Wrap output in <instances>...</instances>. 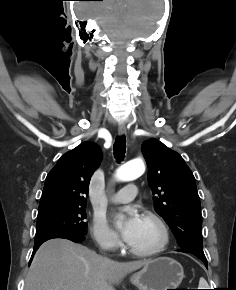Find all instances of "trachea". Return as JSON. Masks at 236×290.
Segmentation results:
<instances>
[{
	"label": "trachea",
	"mask_w": 236,
	"mask_h": 290,
	"mask_svg": "<svg viewBox=\"0 0 236 290\" xmlns=\"http://www.w3.org/2000/svg\"><path fill=\"white\" fill-rule=\"evenodd\" d=\"M114 156L118 162L122 161L126 153V138L125 136H120L115 139L113 145Z\"/></svg>",
	"instance_id": "trachea-1"
}]
</instances>
